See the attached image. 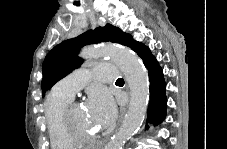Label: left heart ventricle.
Returning <instances> with one entry per match:
<instances>
[{
	"mask_svg": "<svg viewBox=\"0 0 227 149\" xmlns=\"http://www.w3.org/2000/svg\"><path fill=\"white\" fill-rule=\"evenodd\" d=\"M74 127L77 131L84 134H93L96 131V123L89 112L80 106L73 113Z\"/></svg>",
	"mask_w": 227,
	"mask_h": 149,
	"instance_id": "obj_1",
	"label": "left heart ventricle"
}]
</instances>
